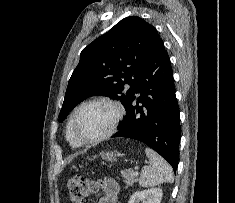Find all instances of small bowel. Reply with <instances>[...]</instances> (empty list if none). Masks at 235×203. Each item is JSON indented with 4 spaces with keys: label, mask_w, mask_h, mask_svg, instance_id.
I'll return each instance as SVG.
<instances>
[{
    "label": "small bowel",
    "mask_w": 235,
    "mask_h": 203,
    "mask_svg": "<svg viewBox=\"0 0 235 203\" xmlns=\"http://www.w3.org/2000/svg\"><path fill=\"white\" fill-rule=\"evenodd\" d=\"M102 186L103 195L98 203H117L119 193L118 183L114 179L107 177L103 179Z\"/></svg>",
    "instance_id": "1"
}]
</instances>
